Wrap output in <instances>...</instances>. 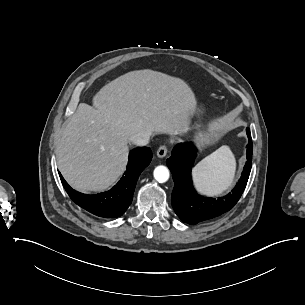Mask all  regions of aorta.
Segmentation results:
<instances>
[{
	"mask_svg": "<svg viewBox=\"0 0 305 305\" xmlns=\"http://www.w3.org/2000/svg\"><path fill=\"white\" fill-rule=\"evenodd\" d=\"M154 178L159 183H164L169 179L170 173L167 167L160 165L154 169Z\"/></svg>",
	"mask_w": 305,
	"mask_h": 305,
	"instance_id": "1",
	"label": "aorta"
}]
</instances>
